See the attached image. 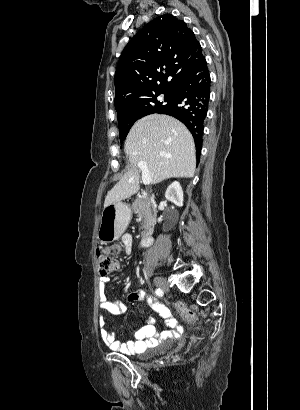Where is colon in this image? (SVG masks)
<instances>
[{
	"label": "colon",
	"mask_w": 300,
	"mask_h": 410,
	"mask_svg": "<svg viewBox=\"0 0 300 410\" xmlns=\"http://www.w3.org/2000/svg\"><path fill=\"white\" fill-rule=\"evenodd\" d=\"M96 256L98 262V270L101 276H105L110 272L120 269V263L113 255L98 250ZM176 306L185 318H194V313L190 309H188L185 304L177 303Z\"/></svg>",
	"instance_id": "colon-1"
}]
</instances>
